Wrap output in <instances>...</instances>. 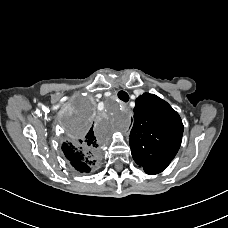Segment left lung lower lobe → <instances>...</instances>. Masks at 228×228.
Instances as JSON below:
<instances>
[{
	"label": "left lung lower lobe",
	"instance_id": "0a47b994",
	"mask_svg": "<svg viewBox=\"0 0 228 228\" xmlns=\"http://www.w3.org/2000/svg\"><path fill=\"white\" fill-rule=\"evenodd\" d=\"M171 161L153 158L149 163H145L144 165H140L147 174H157L162 172Z\"/></svg>",
	"mask_w": 228,
	"mask_h": 228
}]
</instances>
